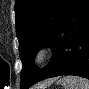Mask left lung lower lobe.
<instances>
[{
	"label": "left lung lower lobe",
	"mask_w": 89,
	"mask_h": 89,
	"mask_svg": "<svg viewBox=\"0 0 89 89\" xmlns=\"http://www.w3.org/2000/svg\"><path fill=\"white\" fill-rule=\"evenodd\" d=\"M51 48V61L38 70L27 88L41 80L61 75L89 79V0L71 1Z\"/></svg>",
	"instance_id": "1"
}]
</instances>
